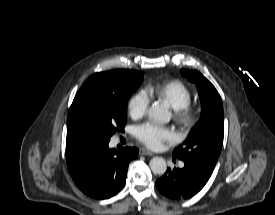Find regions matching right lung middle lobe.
I'll return each instance as SVG.
<instances>
[{
	"instance_id": "right-lung-middle-lobe-1",
	"label": "right lung middle lobe",
	"mask_w": 275,
	"mask_h": 215,
	"mask_svg": "<svg viewBox=\"0 0 275 215\" xmlns=\"http://www.w3.org/2000/svg\"><path fill=\"white\" fill-rule=\"evenodd\" d=\"M136 70L93 74L76 94L67 116L66 145L109 142L127 120V101L143 81Z\"/></svg>"
}]
</instances>
